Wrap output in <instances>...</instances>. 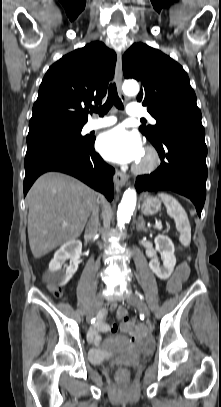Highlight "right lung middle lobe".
<instances>
[{"mask_svg":"<svg viewBox=\"0 0 221 407\" xmlns=\"http://www.w3.org/2000/svg\"><path fill=\"white\" fill-rule=\"evenodd\" d=\"M84 124L56 123L29 128L27 139L40 135H62L67 136L79 143H85L87 136L81 135Z\"/></svg>","mask_w":221,"mask_h":407,"instance_id":"right-lung-middle-lobe-1","label":"right lung middle lobe"}]
</instances>
